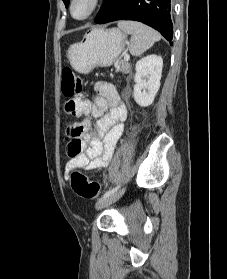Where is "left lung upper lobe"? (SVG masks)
I'll return each instance as SVG.
<instances>
[{
	"label": "left lung upper lobe",
	"instance_id": "1",
	"mask_svg": "<svg viewBox=\"0 0 227 279\" xmlns=\"http://www.w3.org/2000/svg\"><path fill=\"white\" fill-rule=\"evenodd\" d=\"M64 4L66 7H68V4H69V0H63Z\"/></svg>",
	"mask_w": 227,
	"mask_h": 279
}]
</instances>
